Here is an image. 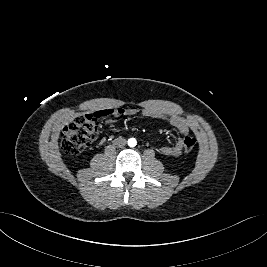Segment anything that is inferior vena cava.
<instances>
[{"instance_id": "602c4592", "label": "inferior vena cava", "mask_w": 267, "mask_h": 267, "mask_svg": "<svg viewBox=\"0 0 267 267\" xmlns=\"http://www.w3.org/2000/svg\"><path fill=\"white\" fill-rule=\"evenodd\" d=\"M113 143L116 147H123L126 144V139L119 137L115 139Z\"/></svg>"}]
</instances>
